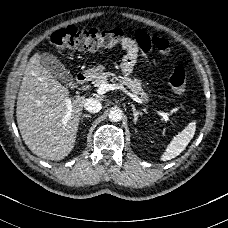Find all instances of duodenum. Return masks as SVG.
<instances>
[{"label": "duodenum", "mask_w": 228, "mask_h": 228, "mask_svg": "<svg viewBox=\"0 0 228 228\" xmlns=\"http://www.w3.org/2000/svg\"><path fill=\"white\" fill-rule=\"evenodd\" d=\"M89 79V73L87 72H79L77 73L76 77H75V82L78 85H83L85 84Z\"/></svg>", "instance_id": "1"}]
</instances>
